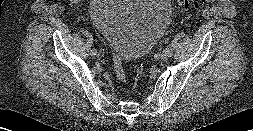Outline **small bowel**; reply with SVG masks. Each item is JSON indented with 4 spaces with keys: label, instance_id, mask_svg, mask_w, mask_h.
Listing matches in <instances>:
<instances>
[{
    "label": "small bowel",
    "instance_id": "c3829d8e",
    "mask_svg": "<svg viewBox=\"0 0 253 131\" xmlns=\"http://www.w3.org/2000/svg\"><path fill=\"white\" fill-rule=\"evenodd\" d=\"M72 3H79L81 0H70Z\"/></svg>",
    "mask_w": 253,
    "mask_h": 131
}]
</instances>
